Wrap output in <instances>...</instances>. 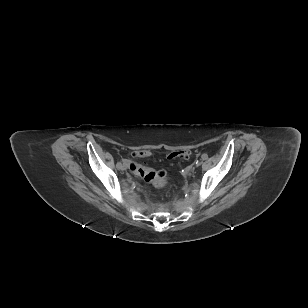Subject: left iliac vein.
<instances>
[{
  "label": "left iliac vein",
  "instance_id": "1",
  "mask_svg": "<svg viewBox=\"0 0 308 308\" xmlns=\"http://www.w3.org/2000/svg\"><path fill=\"white\" fill-rule=\"evenodd\" d=\"M200 165H201V161H197L196 166H200Z\"/></svg>",
  "mask_w": 308,
  "mask_h": 308
}]
</instances>
